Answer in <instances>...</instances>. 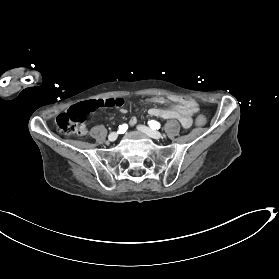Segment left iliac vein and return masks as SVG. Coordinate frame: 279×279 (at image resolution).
I'll return each mask as SVG.
<instances>
[{
    "label": "left iliac vein",
    "instance_id": "obj_1",
    "mask_svg": "<svg viewBox=\"0 0 279 279\" xmlns=\"http://www.w3.org/2000/svg\"><path fill=\"white\" fill-rule=\"evenodd\" d=\"M137 129L144 132L145 134H147L148 136H150L151 138L154 139H160L162 138V134L159 131L156 130H152L144 125H138Z\"/></svg>",
    "mask_w": 279,
    "mask_h": 279
}]
</instances>
